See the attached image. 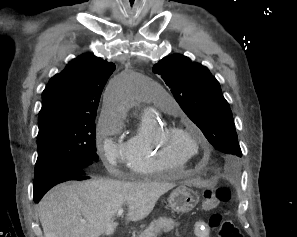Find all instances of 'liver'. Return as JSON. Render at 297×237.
<instances>
[{"instance_id":"liver-1","label":"liver","mask_w":297,"mask_h":237,"mask_svg":"<svg viewBox=\"0 0 297 237\" xmlns=\"http://www.w3.org/2000/svg\"><path fill=\"white\" fill-rule=\"evenodd\" d=\"M173 187L170 183L114 180L60 184L38 205L44 237L111 235L117 227L112 218L119 209L128 207L126 222L142 220L151 213L160 196Z\"/></svg>"}]
</instances>
